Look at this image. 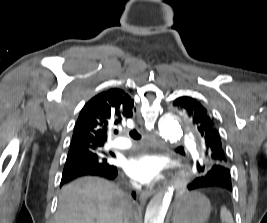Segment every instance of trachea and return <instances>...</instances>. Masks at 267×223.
I'll list each match as a JSON object with an SVG mask.
<instances>
[{
	"label": "trachea",
	"instance_id": "obj_1",
	"mask_svg": "<svg viewBox=\"0 0 267 223\" xmlns=\"http://www.w3.org/2000/svg\"><path fill=\"white\" fill-rule=\"evenodd\" d=\"M130 137L134 140H139L141 138V135L134 129L130 131Z\"/></svg>",
	"mask_w": 267,
	"mask_h": 223
}]
</instances>
